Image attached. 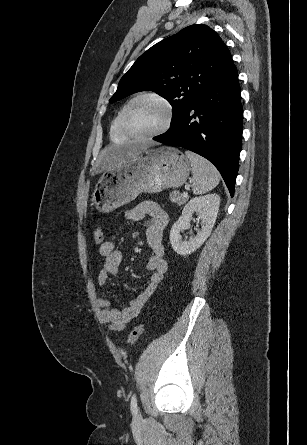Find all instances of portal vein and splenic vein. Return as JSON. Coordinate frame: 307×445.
Here are the masks:
<instances>
[{
    "label": "portal vein and splenic vein",
    "mask_w": 307,
    "mask_h": 445,
    "mask_svg": "<svg viewBox=\"0 0 307 445\" xmlns=\"http://www.w3.org/2000/svg\"><path fill=\"white\" fill-rule=\"evenodd\" d=\"M186 190H190V186L188 184H185ZM183 196H188V192H183Z\"/></svg>",
    "instance_id": "portal-vein-and-splenic-vein-1"
}]
</instances>
